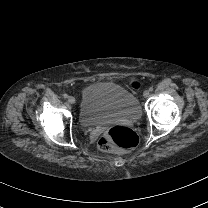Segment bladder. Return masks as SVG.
I'll use <instances>...</instances> for the list:
<instances>
[{"label":"bladder","instance_id":"1","mask_svg":"<svg viewBox=\"0 0 208 208\" xmlns=\"http://www.w3.org/2000/svg\"><path fill=\"white\" fill-rule=\"evenodd\" d=\"M81 119L90 125L116 120H139L141 109L135 95L121 86L99 82L82 94Z\"/></svg>","mask_w":208,"mask_h":208}]
</instances>
